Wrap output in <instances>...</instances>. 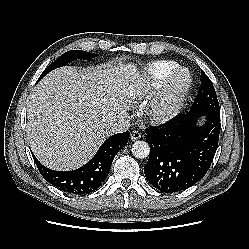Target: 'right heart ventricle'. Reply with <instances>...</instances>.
I'll use <instances>...</instances> for the list:
<instances>
[{
	"label": "right heart ventricle",
	"instance_id": "right-heart-ventricle-1",
	"mask_svg": "<svg viewBox=\"0 0 249 249\" xmlns=\"http://www.w3.org/2000/svg\"><path fill=\"white\" fill-rule=\"evenodd\" d=\"M178 66L179 64L172 60H160L149 64L145 69L147 90L160 87L165 77Z\"/></svg>",
	"mask_w": 249,
	"mask_h": 249
}]
</instances>
